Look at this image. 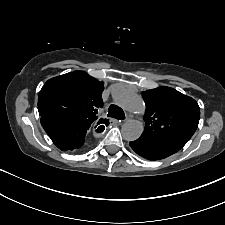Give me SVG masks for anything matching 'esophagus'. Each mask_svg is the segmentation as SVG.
I'll return each mask as SVG.
<instances>
[{
	"instance_id": "obj_1",
	"label": "esophagus",
	"mask_w": 225,
	"mask_h": 225,
	"mask_svg": "<svg viewBox=\"0 0 225 225\" xmlns=\"http://www.w3.org/2000/svg\"><path fill=\"white\" fill-rule=\"evenodd\" d=\"M111 122L114 123V124H118V123H120L121 121L116 120V119H113V120H111Z\"/></svg>"
}]
</instances>
